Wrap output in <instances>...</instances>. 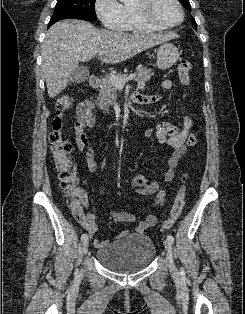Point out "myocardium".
I'll list each match as a JSON object with an SVG mask.
<instances>
[{
    "label": "myocardium",
    "mask_w": 245,
    "mask_h": 314,
    "mask_svg": "<svg viewBox=\"0 0 245 314\" xmlns=\"http://www.w3.org/2000/svg\"><path fill=\"white\" fill-rule=\"evenodd\" d=\"M173 1L176 3L181 12V20L174 24L162 22L154 16L153 9L156 0H138L135 4V10L139 18L148 24L162 29L174 28L183 23L185 19V11L179 0Z\"/></svg>",
    "instance_id": "myocardium-1"
}]
</instances>
